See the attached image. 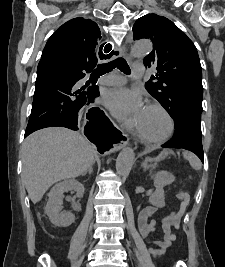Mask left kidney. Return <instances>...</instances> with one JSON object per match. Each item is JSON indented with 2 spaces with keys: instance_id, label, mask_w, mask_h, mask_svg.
<instances>
[{
  "instance_id": "obj_1",
  "label": "left kidney",
  "mask_w": 225,
  "mask_h": 267,
  "mask_svg": "<svg viewBox=\"0 0 225 267\" xmlns=\"http://www.w3.org/2000/svg\"><path fill=\"white\" fill-rule=\"evenodd\" d=\"M154 186L156 191L150 196L149 202L158 208H163L165 206V195L163 188L166 185L172 184L174 181V176L167 171L157 172L154 176Z\"/></svg>"
}]
</instances>
